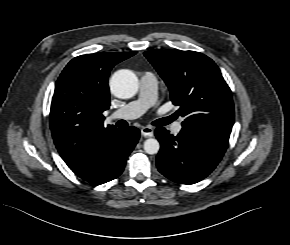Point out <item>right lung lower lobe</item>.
<instances>
[{
	"instance_id": "1",
	"label": "right lung lower lobe",
	"mask_w": 290,
	"mask_h": 245,
	"mask_svg": "<svg viewBox=\"0 0 290 245\" xmlns=\"http://www.w3.org/2000/svg\"><path fill=\"white\" fill-rule=\"evenodd\" d=\"M139 137L140 131L135 127L118 129L106 148L91 163L72 171L94 185L115 179L124 170L126 159L137 144Z\"/></svg>"
}]
</instances>
